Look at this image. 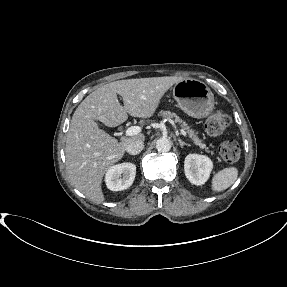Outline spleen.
<instances>
[{
	"instance_id": "1",
	"label": "spleen",
	"mask_w": 287,
	"mask_h": 287,
	"mask_svg": "<svg viewBox=\"0 0 287 287\" xmlns=\"http://www.w3.org/2000/svg\"><path fill=\"white\" fill-rule=\"evenodd\" d=\"M238 170L236 167H228L219 171L213 176L211 188L213 192H221L229 188L237 179Z\"/></svg>"
}]
</instances>
